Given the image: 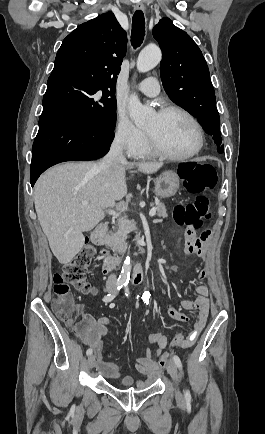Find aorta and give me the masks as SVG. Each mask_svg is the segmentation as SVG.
Listing matches in <instances>:
<instances>
[{"instance_id":"1","label":"aorta","mask_w":265,"mask_h":434,"mask_svg":"<svg viewBox=\"0 0 265 434\" xmlns=\"http://www.w3.org/2000/svg\"><path fill=\"white\" fill-rule=\"evenodd\" d=\"M160 60V48L158 46H146L138 56L137 70L138 72H149V70H153L159 64ZM128 112L130 118L134 120L135 126H146L152 116V108L142 106L138 96H135V94H131L128 98ZM131 270V258L126 256L119 276L120 282H129Z\"/></svg>"}]
</instances>
